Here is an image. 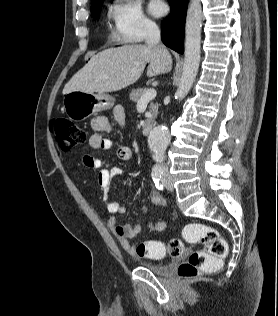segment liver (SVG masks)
<instances>
[{"label":"liver","instance_id":"liver-1","mask_svg":"<svg viewBox=\"0 0 278 316\" xmlns=\"http://www.w3.org/2000/svg\"><path fill=\"white\" fill-rule=\"evenodd\" d=\"M147 66V76L171 71L172 58L163 45H126L94 55L65 85L63 94L72 91L107 93L135 83Z\"/></svg>","mask_w":278,"mask_h":316}]
</instances>
